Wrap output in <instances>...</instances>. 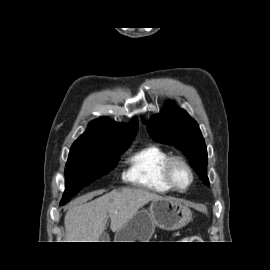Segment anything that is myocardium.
I'll list each match as a JSON object with an SVG mask.
<instances>
[{"label": "myocardium", "mask_w": 270, "mask_h": 270, "mask_svg": "<svg viewBox=\"0 0 270 270\" xmlns=\"http://www.w3.org/2000/svg\"><path fill=\"white\" fill-rule=\"evenodd\" d=\"M177 166L183 167L189 174V182L186 186L182 187L177 184L174 176V170ZM164 176L168 185L177 192H186L194 182V171L190 164L180 156H171L165 163Z\"/></svg>", "instance_id": "obj_1"}]
</instances>
